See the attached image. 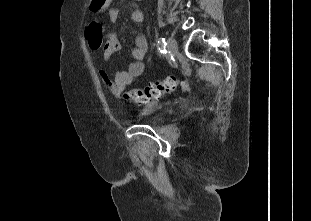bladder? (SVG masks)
<instances>
[{
    "mask_svg": "<svg viewBox=\"0 0 311 221\" xmlns=\"http://www.w3.org/2000/svg\"><path fill=\"white\" fill-rule=\"evenodd\" d=\"M163 104H159L154 108H145V115H149L148 117L142 118L139 120L140 123L149 125V126H159L163 119L158 117L157 114L163 108Z\"/></svg>",
    "mask_w": 311,
    "mask_h": 221,
    "instance_id": "bladder-1",
    "label": "bladder"
}]
</instances>
